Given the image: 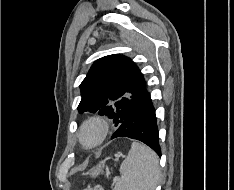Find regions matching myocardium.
Instances as JSON below:
<instances>
[{
	"label": "myocardium",
	"mask_w": 234,
	"mask_h": 190,
	"mask_svg": "<svg viewBox=\"0 0 234 190\" xmlns=\"http://www.w3.org/2000/svg\"><path fill=\"white\" fill-rule=\"evenodd\" d=\"M90 131H93L95 136L91 141H88L86 134ZM108 132L109 126L107 121L100 116H92L81 125L78 138L83 147L90 149L99 146L106 139Z\"/></svg>",
	"instance_id": "1"
}]
</instances>
